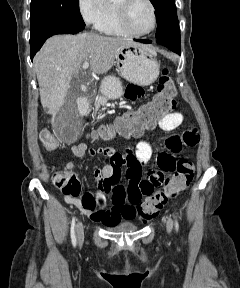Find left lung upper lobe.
Returning <instances> with one entry per match:
<instances>
[{"label": "left lung upper lobe", "instance_id": "5c2ea615", "mask_svg": "<svg viewBox=\"0 0 240 288\" xmlns=\"http://www.w3.org/2000/svg\"><path fill=\"white\" fill-rule=\"evenodd\" d=\"M156 10V38H180L174 0H150Z\"/></svg>", "mask_w": 240, "mask_h": 288}]
</instances>
